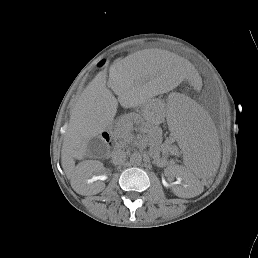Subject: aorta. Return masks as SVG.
I'll use <instances>...</instances> for the list:
<instances>
[{
    "label": "aorta",
    "mask_w": 258,
    "mask_h": 258,
    "mask_svg": "<svg viewBox=\"0 0 258 258\" xmlns=\"http://www.w3.org/2000/svg\"><path fill=\"white\" fill-rule=\"evenodd\" d=\"M141 161H142V157H141L139 152H134L130 156V162L133 163V164H140Z\"/></svg>",
    "instance_id": "762f6f07"
}]
</instances>
